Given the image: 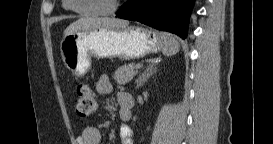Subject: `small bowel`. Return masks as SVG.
I'll return each instance as SVG.
<instances>
[{"label": "small bowel", "mask_w": 273, "mask_h": 144, "mask_svg": "<svg viewBox=\"0 0 273 144\" xmlns=\"http://www.w3.org/2000/svg\"><path fill=\"white\" fill-rule=\"evenodd\" d=\"M97 91L101 94H108L112 90L111 81L108 75H101L96 82ZM123 93L118 94L117 100L120 104V98ZM120 117L124 119L125 110L120 105ZM120 137L122 144H133L132 129L127 124H123L120 129ZM101 142L100 131L95 127H86L82 133L75 139L74 144H99Z\"/></svg>", "instance_id": "c3829d8e"}]
</instances>
